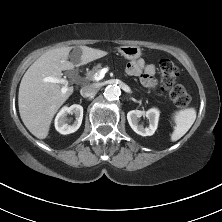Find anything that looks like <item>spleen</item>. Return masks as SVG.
I'll return each mask as SVG.
<instances>
[{
  "instance_id": "obj_1",
  "label": "spleen",
  "mask_w": 222,
  "mask_h": 222,
  "mask_svg": "<svg viewBox=\"0 0 222 222\" xmlns=\"http://www.w3.org/2000/svg\"><path fill=\"white\" fill-rule=\"evenodd\" d=\"M196 119V110L194 108H186L176 111L173 114L175 122L174 131L171 134V141H177L183 137L191 128Z\"/></svg>"
}]
</instances>
